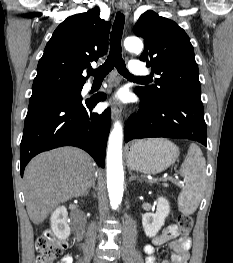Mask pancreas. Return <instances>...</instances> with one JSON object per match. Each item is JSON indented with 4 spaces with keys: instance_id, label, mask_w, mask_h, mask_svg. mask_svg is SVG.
<instances>
[{
    "instance_id": "obj_1",
    "label": "pancreas",
    "mask_w": 233,
    "mask_h": 263,
    "mask_svg": "<svg viewBox=\"0 0 233 263\" xmlns=\"http://www.w3.org/2000/svg\"><path fill=\"white\" fill-rule=\"evenodd\" d=\"M164 186H165V187H167V186H168V184H166V183H165V184H164Z\"/></svg>"
}]
</instances>
